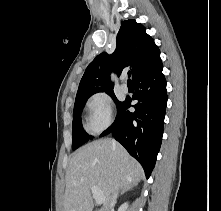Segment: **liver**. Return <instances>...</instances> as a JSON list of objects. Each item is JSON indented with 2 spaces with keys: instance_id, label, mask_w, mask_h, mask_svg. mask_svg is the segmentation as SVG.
Listing matches in <instances>:
<instances>
[{
  "instance_id": "liver-1",
  "label": "liver",
  "mask_w": 221,
  "mask_h": 211,
  "mask_svg": "<svg viewBox=\"0 0 221 211\" xmlns=\"http://www.w3.org/2000/svg\"><path fill=\"white\" fill-rule=\"evenodd\" d=\"M142 175L140 164L120 144L114 145L110 139L91 142L71 157L63 211H92L93 186L104 194L102 211H107L112 194L137 184Z\"/></svg>"
}]
</instances>
